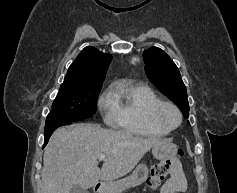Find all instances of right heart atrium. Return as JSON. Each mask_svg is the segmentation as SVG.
<instances>
[{
	"label": "right heart atrium",
	"instance_id": "d8ad5b80",
	"mask_svg": "<svg viewBox=\"0 0 237 193\" xmlns=\"http://www.w3.org/2000/svg\"><path fill=\"white\" fill-rule=\"evenodd\" d=\"M98 107L104 118L111 122V117L114 111V105L112 101V94L110 91L105 92L98 100Z\"/></svg>",
	"mask_w": 237,
	"mask_h": 193
}]
</instances>
